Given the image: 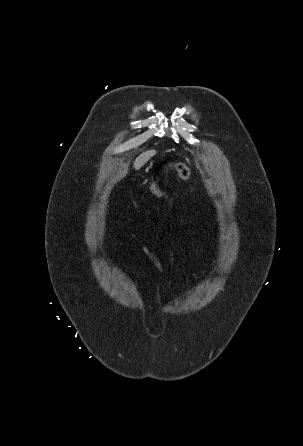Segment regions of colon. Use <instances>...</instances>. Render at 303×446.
I'll return each mask as SVG.
<instances>
[{
    "label": "colon",
    "instance_id": "1",
    "mask_svg": "<svg viewBox=\"0 0 303 446\" xmlns=\"http://www.w3.org/2000/svg\"><path fill=\"white\" fill-rule=\"evenodd\" d=\"M175 171L176 173L183 178L184 180H188L190 178V170L183 164H176L175 165ZM165 191L164 184L160 180L154 181L151 187V193L153 195L159 196L163 194Z\"/></svg>",
    "mask_w": 303,
    "mask_h": 446
}]
</instances>
